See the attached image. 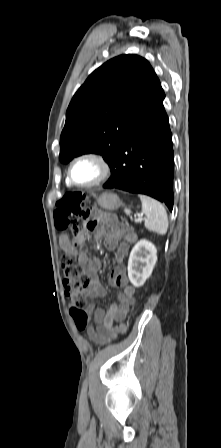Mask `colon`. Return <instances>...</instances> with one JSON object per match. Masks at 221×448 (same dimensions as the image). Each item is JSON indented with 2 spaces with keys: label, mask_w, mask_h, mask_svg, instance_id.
Returning a JSON list of instances; mask_svg holds the SVG:
<instances>
[{
  "label": "colon",
  "mask_w": 221,
  "mask_h": 448,
  "mask_svg": "<svg viewBox=\"0 0 221 448\" xmlns=\"http://www.w3.org/2000/svg\"><path fill=\"white\" fill-rule=\"evenodd\" d=\"M91 213V208L86 204L83 194L67 193L56 203L55 226L58 230H65L71 226L74 236L83 237L95 226ZM61 267L65 293L72 303L71 315L77 328L84 330L90 320L86 310L87 287L90 278L84 268L72 258L64 257L61 260Z\"/></svg>",
  "instance_id": "5ec220e1"
}]
</instances>
